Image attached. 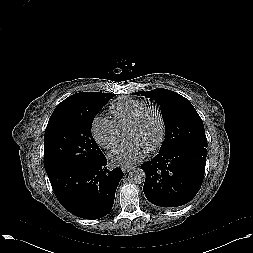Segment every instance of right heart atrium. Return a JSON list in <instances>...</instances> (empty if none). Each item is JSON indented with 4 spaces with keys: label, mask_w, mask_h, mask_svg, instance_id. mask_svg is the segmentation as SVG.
<instances>
[{
    "label": "right heart atrium",
    "mask_w": 253,
    "mask_h": 253,
    "mask_svg": "<svg viewBox=\"0 0 253 253\" xmlns=\"http://www.w3.org/2000/svg\"><path fill=\"white\" fill-rule=\"evenodd\" d=\"M91 133L95 142L104 149L113 148L118 140V128L114 122L100 116L92 120Z\"/></svg>",
    "instance_id": "1"
}]
</instances>
